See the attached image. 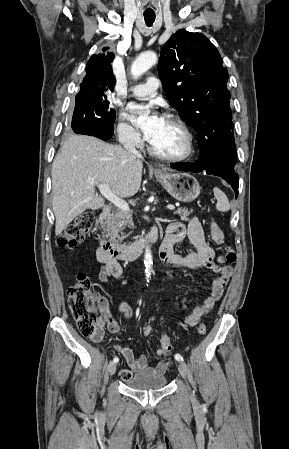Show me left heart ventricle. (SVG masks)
I'll return each mask as SVG.
<instances>
[{
    "label": "left heart ventricle",
    "mask_w": 289,
    "mask_h": 449,
    "mask_svg": "<svg viewBox=\"0 0 289 449\" xmlns=\"http://www.w3.org/2000/svg\"><path fill=\"white\" fill-rule=\"evenodd\" d=\"M150 144L159 153L178 155L184 152L186 143L183 133L173 124L163 120Z\"/></svg>",
    "instance_id": "left-heart-ventricle-1"
}]
</instances>
